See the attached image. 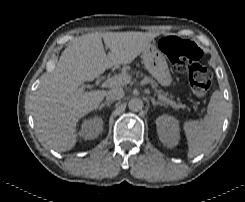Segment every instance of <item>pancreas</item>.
Here are the masks:
<instances>
[{
    "instance_id": "1",
    "label": "pancreas",
    "mask_w": 245,
    "mask_h": 202,
    "mask_svg": "<svg viewBox=\"0 0 245 202\" xmlns=\"http://www.w3.org/2000/svg\"><path fill=\"white\" fill-rule=\"evenodd\" d=\"M144 78H145V80H146L147 82H149V83L155 88V90H156L157 84L155 83V81H154L152 78L147 77V76H145ZM157 92H158V93H161L162 91H161V90H158ZM162 95L167 96L168 93H163ZM174 108H176V109H179V108H185V106L182 105V104H179V103L174 102Z\"/></svg>"
}]
</instances>
